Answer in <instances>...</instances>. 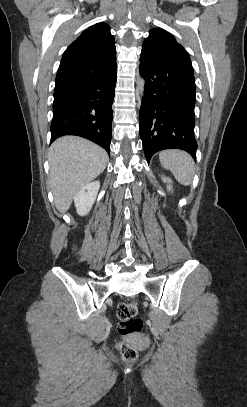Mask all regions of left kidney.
<instances>
[{"label":"left kidney","instance_id":"left-kidney-1","mask_svg":"<svg viewBox=\"0 0 247 407\" xmlns=\"http://www.w3.org/2000/svg\"><path fill=\"white\" fill-rule=\"evenodd\" d=\"M162 180H163V182L168 183L167 189L169 191L172 190V186H171L172 180L170 178H168V177L166 178V177H163V176H162Z\"/></svg>","mask_w":247,"mask_h":407}]
</instances>
